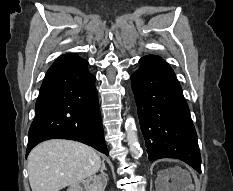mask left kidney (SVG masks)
Masks as SVG:
<instances>
[{"instance_id": "obj_1", "label": "left kidney", "mask_w": 233, "mask_h": 191, "mask_svg": "<svg viewBox=\"0 0 233 191\" xmlns=\"http://www.w3.org/2000/svg\"><path fill=\"white\" fill-rule=\"evenodd\" d=\"M170 177H172V174L170 173V172H166V175H165V184H166V186H167V188L169 189L168 191H176V188H180L179 186H180V184H172V185H170L169 183H168V179L170 178Z\"/></svg>"}]
</instances>
